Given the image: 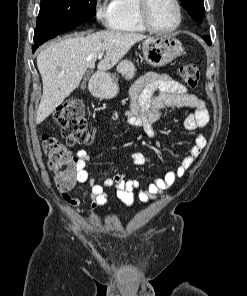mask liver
<instances>
[{"label": "liver", "mask_w": 247, "mask_h": 296, "mask_svg": "<svg viewBox=\"0 0 247 296\" xmlns=\"http://www.w3.org/2000/svg\"><path fill=\"white\" fill-rule=\"evenodd\" d=\"M147 38L146 35L99 31L63 39L37 56V68L42 78L43 94L38 107L36 123L43 122L79 85L89 68H94L99 53L104 58L98 63V73L114 67L131 49Z\"/></svg>", "instance_id": "1"}]
</instances>
